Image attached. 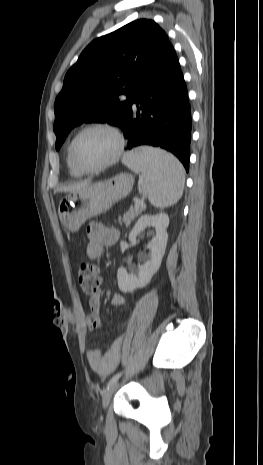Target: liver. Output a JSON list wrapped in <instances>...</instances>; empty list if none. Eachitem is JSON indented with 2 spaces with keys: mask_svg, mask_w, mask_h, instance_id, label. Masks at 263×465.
<instances>
[{
  "mask_svg": "<svg viewBox=\"0 0 263 465\" xmlns=\"http://www.w3.org/2000/svg\"><path fill=\"white\" fill-rule=\"evenodd\" d=\"M90 184H91V181L87 180V181L75 183V184H72V185L60 187V188L56 189L55 192H75V191H79V190L87 187Z\"/></svg>",
  "mask_w": 263,
  "mask_h": 465,
  "instance_id": "6515ba94",
  "label": "liver"
}]
</instances>
